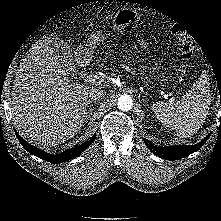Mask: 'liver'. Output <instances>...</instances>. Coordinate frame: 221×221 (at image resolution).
I'll return each instance as SVG.
<instances>
[{"label": "liver", "instance_id": "obj_1", "mask_svg": "<svg viewBox=\"0 0 221 221\" xmlns=\"http://www.w3.org/2000/svg\"><path fill=\"white\" fill-rule=\"evenodd\" d=\"M39 40L23 58L12 88L13 119L32 141L57 145L81 129L89 86L71 83L51 47Z\"/></svg>", "mask_w": 221, "mask_h": 221}]
</instances>
